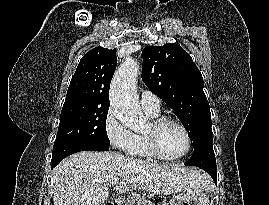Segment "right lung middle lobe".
I'll return each instance as SVG.
<instances>
[{"label": "right lung middle lobe", "mask_w": 269, "mask_h": 205, "mask_svg": "<svg viewBox=\"0 0 269 205\" xmlns=\"http://www.w3.org/2000/svg\"><path fill=\"white\" fill-rule=\"evenodd\" d=\"M108 110V106L71 105L63 107L55 143L80 140L109 146L110 142L106 132Z\"/></svg>", "instance_id": "right-lung-middle-lobe-1"}]
</instances>
